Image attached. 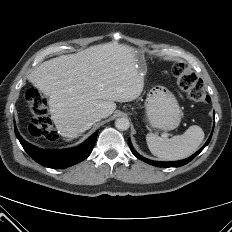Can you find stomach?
Returning <instances> with one entry per match:
<instances>
[{
  "label": "stomach",
  "mask_w": 232,
  "mask_h": 232,
  "mask_svg": "<svg viewBox=\"0 0 232 232\" xmlns=\"http://www.w3.org/2000/svg\"><path fill=\"white\" fill-rule=\"evenodd\" d=\"M146 120L157 130L169 131L177 128L182 111L175 96L164 87H154L145 100Z\"/></svg>",
  "instance_id": "obj_1"
}]
</instances>
